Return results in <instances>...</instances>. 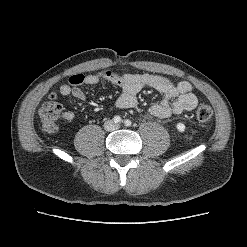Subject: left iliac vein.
Returning a JSON list of instances; mask_svg holds the SVG:
<instances>
[{
  "mask_svg": "<svg viewBox=\"0 0 247 247\" xmlns=\"http://www.w3.org/2000/svg\"><path fill=\"white\" fill-rule=\"evenodd\" d=\"M120 126L119 125H116V128H119Z\"/></svg>",
  "mask_w": 247,
  "mask_h": 247,
  "instance_id": "1",
  "label": "left iliac vein"
}]
</instances>
